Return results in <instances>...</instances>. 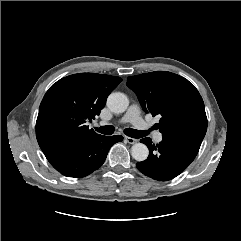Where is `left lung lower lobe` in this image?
Segmentation results:
<instances>
[{
  "label": "left lung lower lobe",
  "instance_id": "1",
  "mask_svg": "<svg viewBox=\"0 0 241 241\" xmlns=\"http://www.w3.org/2000/svg\"><path fill=\"white\" fill-rule=\"evenodd\" d=\"M202 140L203 138L197 136H163V140L155 145L150 138L141 139L149 148V156L136 166L140 172L152 179L171 180L194 160Z\"/></svg>",
  "mask_w": 241,
  "mask_h": 241
}]
</instances>
